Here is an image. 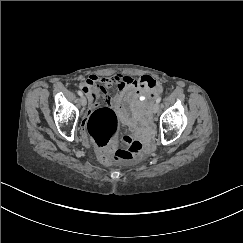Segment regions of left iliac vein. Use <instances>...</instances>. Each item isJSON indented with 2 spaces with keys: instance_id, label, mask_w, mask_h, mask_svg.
Returning a JSON list of instances; mask_svg holds the SVG:
<instances>
[{
  "instance_id": "1",
  "label": "left iliac vein",
  "mask_w": 243,
  "mask_h": 243,
  "mask_svg": "<svg viewBox=\"0 0 243 243\" xmlns=\"http://www.w3.org/2000/svg\"><path fill=\"white\" fill-rule=\"evenodd\" d=\"M159 108H160L159 103H155L152 107V112L154 114L157 113L159 111Z\"/></svg>"
}]
</instances>
